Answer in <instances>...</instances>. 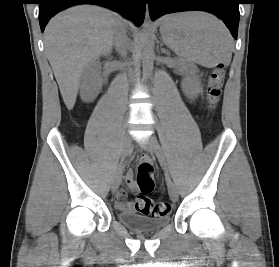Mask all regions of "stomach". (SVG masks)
<instances>
[{
  "label": "stomach",
  "mask_w": 279,
  "mask_h": 267,
  "mask_svg": "<svg viewBox=\"0 0 279 267\" xmlns=\"http://www.w3.org/2000/svg\"><path fill=\"white\" fill-rule=\"evenodd\" d=\"M175 25V21L173 20V15L166 17L161 25V28H171Z\"/></svg>",
  "instance_id": "1"
}]
</instances>
